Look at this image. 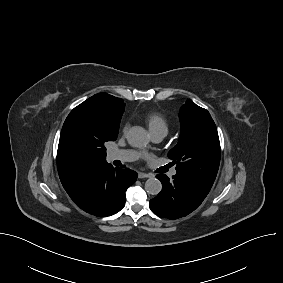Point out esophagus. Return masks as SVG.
Here are the masks:
<instances>
[{"mask_svg":"<svg viewBox=\"0 0 283 283\" xmlns=\"http://www.w3.org/2000/svg\"><path fill=\"white\" fill-rule=\"evenodd\" d=\"M149 177H151L150 174H146V173H142V172H140V173L138 174V178H139V179L149 178Z\"/></svg>","mask_w":283,"mask_h":283,"instance_id":"esophagus-1","label":"esophagus"}]
</instances>
